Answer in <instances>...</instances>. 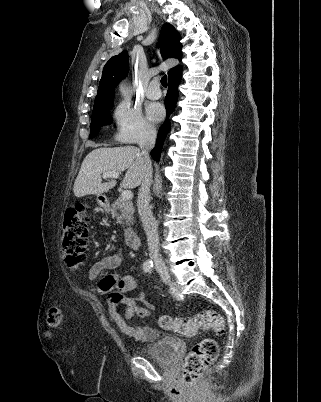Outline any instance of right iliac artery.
Masks as SVG:
<instances>
[{
	"label": "right iliac artery",
	"mask_w": 321,
	"mask_h": 402,
	"mask_svg": "<svg viewBox=\"0 0 321 402\" xmlns=\"http://www.w3.org/2000/svg\"><path fill=\"white\" fill-rule=\"evenodd\" d=\"M153 265L151 264H144L143 269L145 272H149L152 269Z\"/></svg>",
	"instance_id": "obj_1"
}]
</instances>
